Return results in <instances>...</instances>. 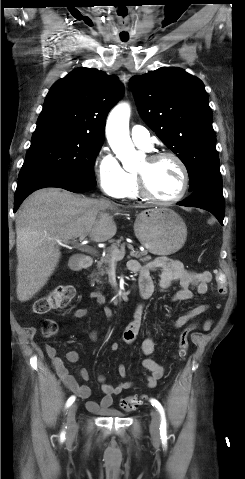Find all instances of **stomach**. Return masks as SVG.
I'll return each instance as SVG.
<instances>
[{"label":"stomach","instance_id":"1","mask_svg":"<svg viewBox=\"0 0 245 479\" xmlns=\"http://www.w3.org/2000/svg\"><path fill=\"white\" fill-rule=\"evenodd\" d=\"M134 232L140 243L155 255L177 252L187 238L185 222L169 208H152L138 213Z\"/></svg>","mask_w":245,"mask_h":479}]
</instances>
